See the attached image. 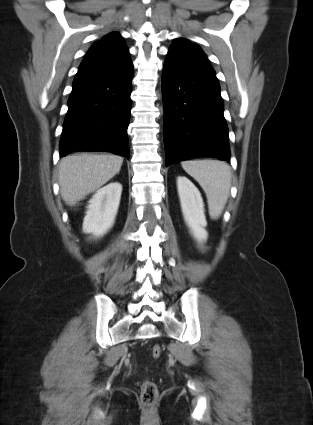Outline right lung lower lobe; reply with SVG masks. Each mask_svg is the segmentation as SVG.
<instances>
[{"mask_svg": "<svg viewBox=\"0 0 313 425\" xmlns=\"http://www.w3.org/2000/svg\"><path fill=\"white\" fill-rule=\"evenodd\" d=\"M133 64L83 61L74 78L60 140L69 152L104 151L129 157Z\"/></svg>", "mask_w": 313, "mask_h": 425, "instance_id": "1", "label": "right lung lower lobe"}]
</instances>
